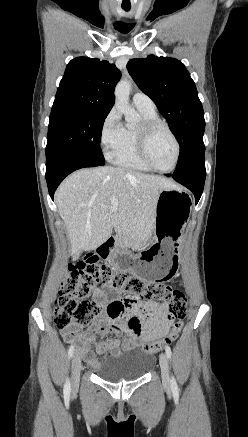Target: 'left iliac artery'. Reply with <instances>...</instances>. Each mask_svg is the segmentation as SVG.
Returning <instances> with one entry per match:
<instances>
[{
    "label": "left iliac artery",
    "instance_id": "44dca946",
    "mask_svg": "<svg viewBox=\"0 0 248 437\" xmlns=\"http://www.w3.org/2000/svg\"><path fill=\"white\" fill-rule=\"evenodd\" d=\"M165 352L167 357L170 359L172 356V352H171V348L169 346H166L165 348ZM171 388L173 391H177L178 390V385L176 383V380L174 377L171 378Z\"/></svg>",
    "mask_w": 248,
    "mask_h": 437
}]
</instances>
